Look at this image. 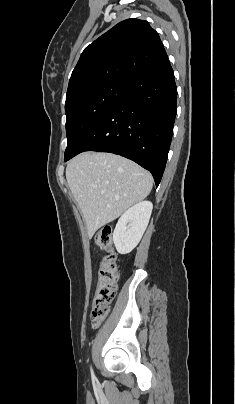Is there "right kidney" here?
<instances>
[{
  "label": "right kidney",
  "mask_w": 235,
  "mask_h": 404,
  "mask_svg": "<svg viewBox=\"0 0 235 404\" xmlns=\"http://www.w3.org/2000/svg\"><path fill=\"white\" fill-rule=\"evenodd\" d=\"M152 208L150 201H142L120 217L113 233V241L120 254H128L137 246L148 225Z\"/></svg>",
  "instance_id": "1"
}]
</instances>
